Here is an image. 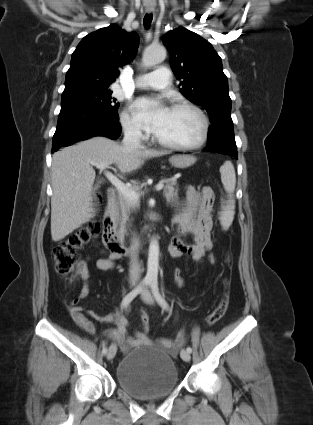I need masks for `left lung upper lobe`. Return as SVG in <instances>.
Masks as SVG:
<instances>
[{"mask_svg":"<svg viewBox=\"0 0 313 425\" xmlns=\"http://www.w3.org/2000/svg\"><path fill=\"white\" fill-rule=\"evenodd\" d=\"M163 43L171 55L173 72L180 80V92L206 109L212 125L232 124L228 80L213 46L184 27L167 32Z\"/></svg>","mask_w":313,"mask_h":425,"instance_id":"5c2ea615","label":"left lung upper lobe"}]
</instances>
